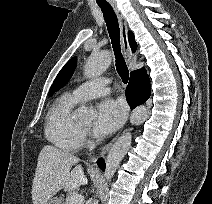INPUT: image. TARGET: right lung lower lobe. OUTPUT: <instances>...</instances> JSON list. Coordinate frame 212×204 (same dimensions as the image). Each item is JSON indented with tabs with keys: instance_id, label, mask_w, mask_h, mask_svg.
Here are the masks:
<instances>
[{
	"instance_id": "1",
	"label": "right lung lower lobe",
	"mask_w": 212,
	"mask_h": 204,
	"mask_svg": "<svg viewBox=\"0 0 212 204\" xmlns=\"http://www.w3.org/2000/svg\"><path fill=\"white\" fill-rule=\"evenodd\" d=\"M150 79L145 69H139L131 72L129 84L126 88V99L131 109L143 104L150 97ZM98 165L105 170V162L98 160Z\"/></svg>"
}]
</instances>
